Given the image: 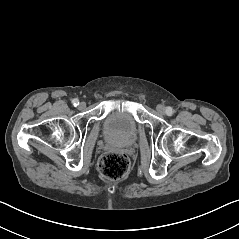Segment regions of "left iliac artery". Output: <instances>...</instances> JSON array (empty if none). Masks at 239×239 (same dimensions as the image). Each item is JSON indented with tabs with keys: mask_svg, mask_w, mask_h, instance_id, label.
Returning a JSON list of instances; mask_svg holds the SVG:
<instances>
[{
	"mask_svg": "<svg viewBox=\"0 0 239 239\" xmlns=\"http://www.w3.org/2000/svg\"><path fill=\"white\" fill-rule=\"evenodd\" d=\"M166 113L168 116H171L174 113V110L172 109V107H167L166 108Z\"/></svg>",
	"mask_w": 239,
	"mask_h": 239,
	"instance_id": "obj_1",
	"label": "left iliac artery"
}]
</instances>
